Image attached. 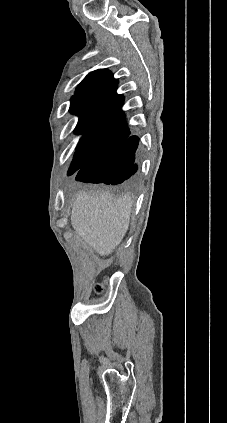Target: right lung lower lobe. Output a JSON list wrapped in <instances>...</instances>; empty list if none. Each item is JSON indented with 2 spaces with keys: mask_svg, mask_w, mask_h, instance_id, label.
Instances as JSON below:
<instances>
[{
  "mask_svg": "<svg viewBox=\"0 0 227 423\" xmlns=\"http://www.w3.org/2000/svg\"><path fill=\"white\" fill-rule=\"evenodd\" d=\"M105 117L109 120L125 121L120 106L110 110ZM138 144V137L131 136L112 147L99 151L79 169L76 180L111 185L123 183L137 169L134 159Z\"/></svg>",
  "mask_w": 227,
  "mask_h": 423,
  "instance_id": "98d812e1",
  "label": "right lung lower lobe"
}]
</instances>
